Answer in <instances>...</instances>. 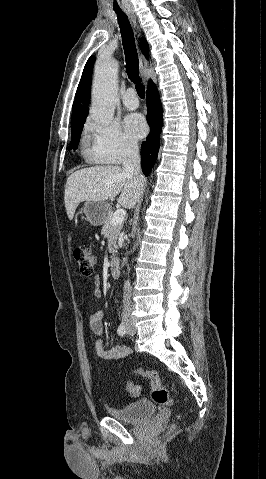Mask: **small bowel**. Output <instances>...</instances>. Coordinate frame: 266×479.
I'll list each match as a JSON object with an SVG mask.
<instances>
[{
	"label": "small bowel",
	"mask_w": 266,
	"mask_h": 479,
	"mask_svg": "<svg viewBox=\"0 0 266 479\" xmlns=\"http://www.w3.org/2000/svg\"><path fill=\"white\" fill-rule=\"evenodd\" d=\"M97 288L94 291V295L99 297L101 292L98 288L99 281L96 282ZM103 312L97 311L90 318V329L93 334H95L98 339L95 343V352L96 355L103 360L119 361L123 358H126L131 355V349L126 346L113 345L109 349L104 347L102 340L103 335Z\"/></svg>",
	"instance_id": "obj_1"
}]
</instances>
